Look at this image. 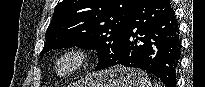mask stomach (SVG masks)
I'll return each instance as SVG.
<instances>
[{
	"label": "stomach",
	"mask_w": 205,
	"mask_h": 87,
	"mask_svg": "<svg viewBox=\"0 0 205 87\" xmlns=\"http://www.w3.org/2000/svg\"><path fill=\"white\" fill-rule=\"evenodd\" d=\"M148 75L136 68L117 66L95 72L76 87H150Z\"/></svg>",
	"instance_id": "1"
}]
</instances>
